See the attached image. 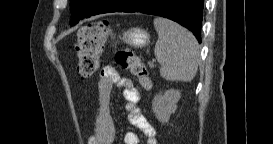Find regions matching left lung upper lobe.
<instances>
[{
	"mask_svg": "<svg viewBox=\"0 0 273 144\" xmlns=\"http://www.w3.org/2000/svg\"><path fill=\"white\" fill-rule=\"evenodd\" d=\"M85 1L86 0H71L70 11L72 16L91 9L95 2V0H88L86 3Z\"/></svg>",
	"mask_w": 273,
	"mask_h": 144,
	"instance_id": "left-lung-upper-lobe-1",
	"label": "left lung upper lobe"
}]
</instances>
